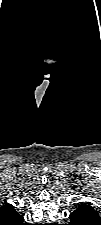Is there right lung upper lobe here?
<instances>
[{"label": "right lung upper lobe", "instance_id": "cb5924a9", "mask_svg": "<svg viewBox=\"0 0 101 225\" xmlns=\"http://www.w3.org/2000/svg\"><path fill=\"white\" fill-rule=\"evenodd\" d=\"M22 216L19 215L10 204L0 208V225H17Z\"/></svg>", "mask_w": 101, "mask_h": 225}]
</instances>
